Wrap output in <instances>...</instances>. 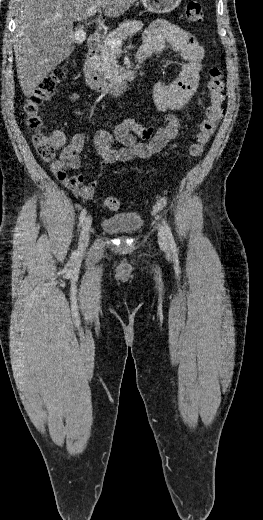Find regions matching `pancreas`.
<instances>
[{"instance_id": "obj_1", "label": "pancreas", "mask_w": 263, "mask_h": 520, "mask_svg": "<svg viewBox=\"0 0 263 520\" xmlns=\"http://www.w3.org/2000/svg\"><path fill=\"white\" fill-rule=\"evenodd\" d=\"M143 23L137 20L122 22L113 32L108 34L110 39L125 40L140 31ZM93 65L98 73L109 82H117L121 79L122 68L118 65L115 50L107 43L106 37L100 42V53L93 58Z\"/></svg>"}]
</instances>
